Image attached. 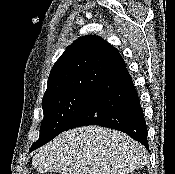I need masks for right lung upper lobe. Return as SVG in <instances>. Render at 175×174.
<instances>
[{"instance_id": "1", "label": "right lung upper lobe", "mask_w": 175, "mask_h": 174, "mask_svg": "<svg viewBox=\"0 0 175 174\" xmlns=\"http://www.w3.org/2000/svg\"><path fill=\"white\" fill-rule=\"evenodd\" d=\"M125 66L119 51L98 36L71 44L54 64L43 99L79 89H93Z\"/></svg>"}]
</instances>
